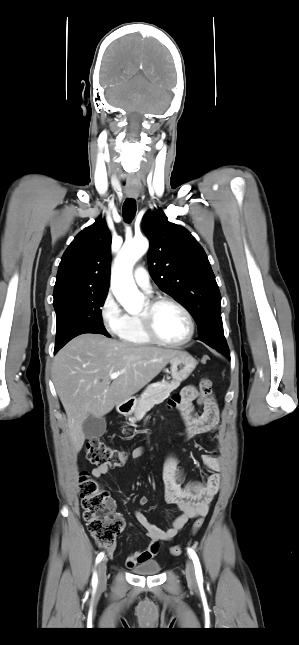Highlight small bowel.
Wrapping results in <instances>:
<instances>
[{"mask_svg": "<svg viewBox=\"0 0 299 645\" xmlns=\"http://www.w3.org/2000/svg\"><path fill=\"white\" fill-rule=\"evenodd\" d=\"M197 398L196 387L189 385L184 387L170 403L180 412L185 423L186 440L208 434L219 423V410L215 398L212 395L208 396L202 403L199 398L198 401L203 406V412L196 415L193 402ZM215 440L221 445L219 433L216 434ZM143 453L142 448H137L133 451L132 457L140 458ZM201 460L210 474L202 480H196L186 487H181L180 484L185 476L184 471L175 455L168 454L166 456L163 471L164 497L168 504L174 505L180 511V514L174 519L171 527L164 530L152 524L140 510L134 512L138 523L146 529L149 544L144 550L135 551L126 558L127 568H133L137 564L153 559L158 554L161 543L173 540L189 520L203 517L208 513L209 505L220 486L221 459L215 454L207 453L202 455ZM109 469L110 467L107 465H98L92 470V476L100 478L107 474ZM147 503L146 496L140 497V505L144 506ZM112 552L113 548L109 550L110 554Z\"/></svg>", "mask_w": 299, "mask_h": 645, "instance_id": "small-bowel-1", "label": "small bowel"}]
</instances>
